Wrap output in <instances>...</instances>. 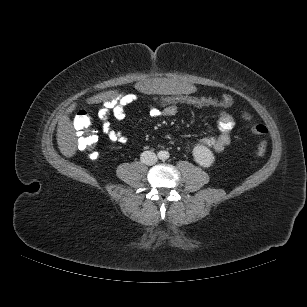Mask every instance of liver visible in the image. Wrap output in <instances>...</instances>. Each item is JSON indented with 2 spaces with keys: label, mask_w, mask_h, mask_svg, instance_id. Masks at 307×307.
Segmentation results:
<instances>
[{
  "label": "liver",
  "mask_w": 307,
  "mask_h": 307,
  "mask_svg": "<svg viewBox=\"0 0 307 307\" xmlns=\"http://www.w3.org/2000/svg\"><path fill=\"white\" fill-rule=\"evenodd\" d=\"M135 88L139 92L145 93H176L179 95L193 96L198 91V86L190 80L178 79L176 77L167 78H145L136 83ZM116 92L109 91L94 95L87 99V103L94 104L113 98ZM76 103H72L63 115L57 126V143L60 152L66 157H72L76 153V142L74 128L72 126L69 114L76 108Z\"/></svg>",
  "instance_id": "liver-1"
}]
</instances>
